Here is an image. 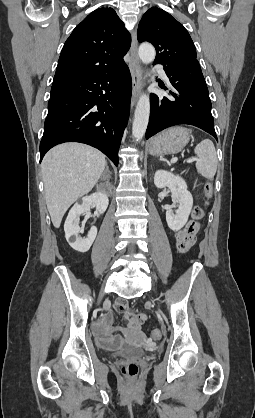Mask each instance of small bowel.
Segmentation results:
<instances>
[{"label": "small bowel", "instance_id": "small-bowel-1", "mask_svg": "<svg viewBox=\"0 0 255 418\" xmlns=\"http://www.w3.org/2000/svg\"><path fill=\"white\" fill-rule=\"evenodd\" d=\"M179 242L175 243L179 247L178 253L181 256L188 254V249L195 247L196 237L199 236L198 228H178L176 230ZM115 310L123 314L126 328L122 329L116 335H112L110 326L113 321V314H107L96 327L98 343L107 349L119 347L124 342V337L140 339L142 337L140 324L146 319L142 313L134 314L128 311L127 304L123 300H118L115 304Z\"/></svg>", "mask_w": 255, "mask_h": 418}]
</instances>
